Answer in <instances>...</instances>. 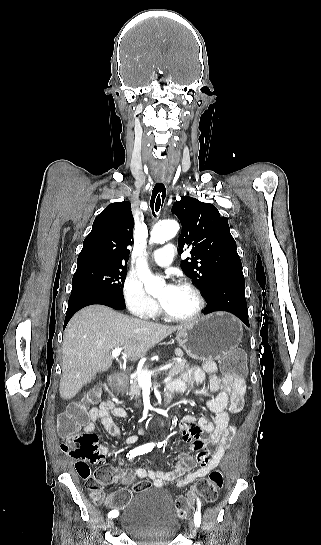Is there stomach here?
I'll return each mask as SVG.
<instances>
[{
    "label": "stomach",
    "instance_id": "1",
    "mask_svg": "<svg viewBox=\"0 0 321 545\" xmlns=\"http://www.w3.org/2000/svg\"><path fill=\"white\" fill-rule=\"evenodd\" d=\"M242 337V323L234 315L210 313L183 325L176 341L193 359H221L238 347Z\"/></svg>",
    "mask_w": 321,
    "mask_h": 545
}]
</instances>
